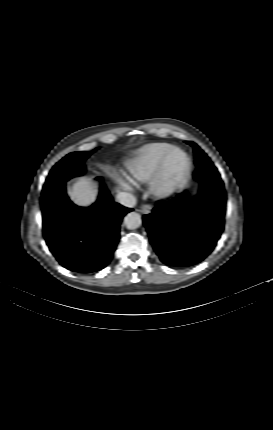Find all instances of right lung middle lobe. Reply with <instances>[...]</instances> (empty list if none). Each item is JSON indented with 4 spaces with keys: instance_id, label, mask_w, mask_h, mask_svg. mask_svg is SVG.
<instances>
[{
    "instance_id": "1",
    "label": "right lung middle lobe",
    "mask_w": 273,
    "mask_h": 430,
    "mask_svg": "<svg viewBox=\"0 0 273 430\" xmlns=\"http://www.w3.org/2000/svg\"><path fill=\"white\" fill-rule=\"evenodd\" d=\"M92 152L80 151L68 154L49 173L42 194L48 193L68 179L84 173V161Z\"/></svg>"
}]
</instances>
